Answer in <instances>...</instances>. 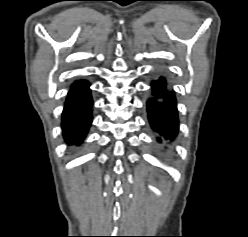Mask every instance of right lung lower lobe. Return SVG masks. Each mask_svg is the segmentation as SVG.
Here are the masks:
<instances>
[{
    "mask_svg": "<svg viewBox=\"0 0 248 237\" xmlns=\"http://www.w3.org/2000/svg\"><path fill=\"white\" fill-rule=\"evenodd\" d=\"M92 98L86 81L76 82L68 93L62 113L63 135L69 144H78L86 136L92 120Z\"/></svg>",
    "mask_w": 248,
    "mask_h": 237,
    "instance_id": "1",
    "label": "right lung lower lobe"
}]
</instances>
